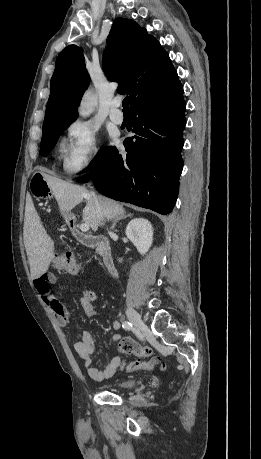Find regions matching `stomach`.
I'll use <instances>...</instances> for the list:
<instances>
[{
    "label": "stomach",
    "mask_w": 261,
    "mask_h": 459,
    "mask_svg": "<svg viewBox=\"0 0 261 459\" xmlns=\"http://www.w3.org/2000/svg\"><path fill=\"white\" fill-rule=\"evenodd\" d=\"M29 190L37 199H45L52 195L50 186L46 182L44 176L39 172L33 174L30 180Z\"/></svg>",
    "instance_id": "obj_1"
}]
</instances>
